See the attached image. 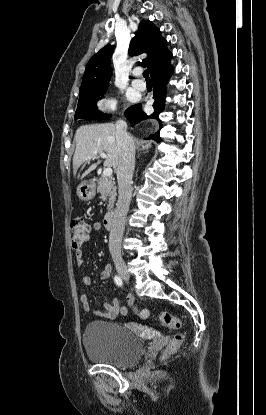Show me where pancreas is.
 Returning <instances> with one entry per match:
<instances>
[{
    "label": "pancreas",
    "mask_w": 266,
    "mask_h": 415,
    "mask_svg": "<svg viewBox=\"0 0 266 415\" xmlns=\"http://www.w3.org/2000/svg\"><path fill=\"white\" fill-rule=\"evenodd\" d=\"M116 186L115 182L112 177H105L102 176L97 185V192L100 193L102 200H107L108 198V205L107 210L108 212L113 211L114 202L116 200Z\"/></svg>",
    "instance_id": "1"
}]
</instances>
